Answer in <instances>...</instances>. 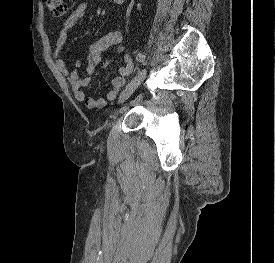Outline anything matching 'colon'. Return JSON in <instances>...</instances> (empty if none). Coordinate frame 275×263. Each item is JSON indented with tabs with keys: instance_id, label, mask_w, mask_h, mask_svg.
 <instances>
[{
	"instance_id": "colon-1",
	"label": "colon",
	"mask_w": 275,
	"mask_h": 263,
	"mask_svg": "<svg viewBox=\"0 0 275 263\" xmlns=\"http://www.w3.org/2000/svg\"><path fill=\"white\" fill-rule=\"evenodd\" d=\"M71 0H45L47 9L53 17H62L70 9Z\"/></svg>"
}]
</instances>
